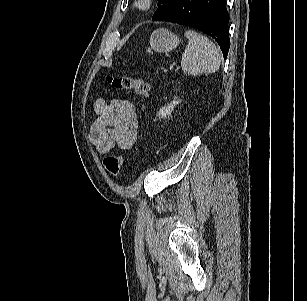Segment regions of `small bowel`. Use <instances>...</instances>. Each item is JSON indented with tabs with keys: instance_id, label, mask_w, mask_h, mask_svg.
<instances>
[{
	"instance_id": "obj_1",
	"label": "small bowel",
	"mask_w": 307,
	"mask_h": 301,
	"mask_svg": "<svg viewBox=\"0 0 307 301\" xmlns=\"http://www.w3.org/2000/svg\"><path fill=\"white\" fill-rule=\"evenodd\" d=\"M97 119L91 127L90 141L100 154H108L117 145L130 149L138 133V115L128 100L99 98L94 102Z\"/></svg>"
}]
</instances>
